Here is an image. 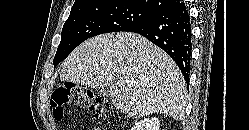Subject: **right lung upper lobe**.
I'll return each mask as SVG.
<instances>
[{"label": "right lung upper lobe", "mask_w": 249, "mask_h": 130, "mask_svg": "<svg viewBox=\"0 0 249 130\" xmlns=\"http://www.w3.org/2000/svg\"><path fill=\"white\" fill-rule=\"evenodd\" d=\"M96 1H102V0H76L72 8L88 3H93ZM116 1L128 2L138 7L153 11L157 14L171 7L177 2V0H116Z\"/></svg>", "instance_id": "cb5924a9"}]
</instances>
